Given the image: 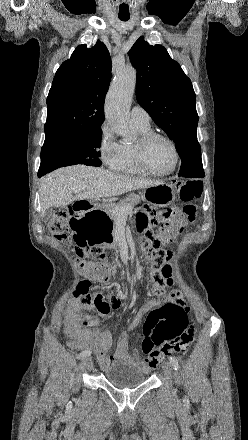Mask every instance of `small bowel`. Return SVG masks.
<instances>
[{
  "label": "small bowel",
  "mask_w": 248,
  "mask_h": 440,
  "mask_svg": "<svg viewBox=\"0 0 248 440\" xmlns=\"http://www.w3.org/2000/svg\"><path fill=\"white\" fill-rule=\"evenodd\" d=\"M137 227L140 231L152 224L150 216L146 212H140L137 217ZM171 257H153L148 261V269L151 271L152 298L146 301L142 312L138 313L129 325V331L134 330L140 323L142 313L157 308L165 303L174 302L181 306L184 305V299L179 291H172L170 294L161 298L166 289L175 283ZM172 283V284H171ZM102 295L100 305L91 308L95 309L100 316H107L117 309L120 305L122 295L110 294L107 298L104 293L96 289ZM90 309H82L76 302H73L67 309L64 319V331L69 338L68 346L74 350L85 349L92 351L98 360L102 369H107L115 362H127L139 369L149 370L153 368L147 358L140 359L136 353H129V334L123 332L117 339L114 351L110 353L113 347L112 334L108 329L98 328L90 329L84 327L79 320V315Z\"/></svg>",
  "instance_id": "small-bowel-1"
}]
</instances>
